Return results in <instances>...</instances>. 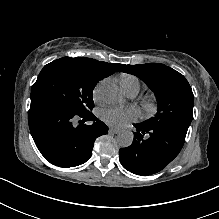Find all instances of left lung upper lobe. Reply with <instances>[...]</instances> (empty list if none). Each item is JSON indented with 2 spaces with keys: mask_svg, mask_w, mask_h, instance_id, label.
<instances>
[{
  "mask_svg": "<svg viewBox=\"0 0 219 219\" xmlns=\"http://www.w3.org/2000/svg\"><path fill=\"white\" fill-rule=\"evenodd\" d=\"M123 72L140 78L155 93V117L143 123L186 134L193 119L194 95L186 78L164 64L127 65Z\"/></svg>",
  "mask_w": 219,
  "mask_h": 219,
  "instance_id": "left-lung-upper-lobe-1",
  "label": "left lung upper lobe"
}]
</instances>
